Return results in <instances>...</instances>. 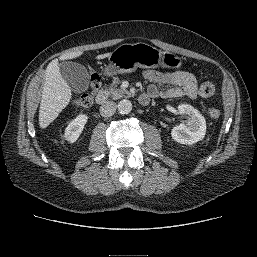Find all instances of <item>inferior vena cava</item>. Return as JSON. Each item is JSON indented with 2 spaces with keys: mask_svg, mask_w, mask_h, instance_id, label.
I'll list each match as a JSON object with an SVG mask.
<instances>
[{
  "mask_svg": "<svg viewBox=\"0 0 257 257\" xmlns=\"http://www.w3.org/2000/svg\"><path fill=\"white\" fill-rule=\"evenodd\" d=\"M116 111V104L113 101H107L106 103L102 104L100 107V114L103 117H110Z\"/></svg>",
  "mask_w": 257,
  "mask_h": 257,
  "instance_id": "inferior-vena-cava-1",
  "label": "inferior vena cava"
}]
</instances>
